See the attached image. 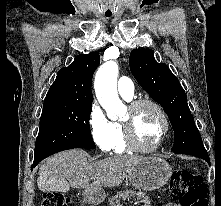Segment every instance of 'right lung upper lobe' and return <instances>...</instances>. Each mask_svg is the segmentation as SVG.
<instances>
[{"label": "right lung upper lobe", "mask_w": 221, "mask_h": 206, "mask_svg": "<svg viewBox=\"0 0 221 206\" xmlns=\"http://www.w3.org/2000/svg\"><path fill=\"white\" fill-rule=\"evenodd\" d=\"M99 63V54L90 52L76 56L70 66L60 69L45 97L43 109L92 105V77Z\"/></svg>", "instance_id": "right-lung-upper-lobe-1"}]
</instances>
